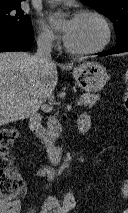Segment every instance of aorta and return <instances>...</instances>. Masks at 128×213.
Here are the masks:
<instances>
[{
    "instance_id": "1",
    "label": "aorta",
    "mask_w": 128,
    "mask_h": 213,
    "mask_svg": "<svg viewBox=\"0 0 128 213\" xmlns=\"http://www.w3.org/2000/svg\"><path fill=\"white\" fill-rule=\"evenodd\" d=\"M70 160H71L70 153H67L63 161V167H69Z\"/></svg>"
}]
</instances>
